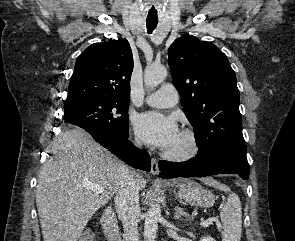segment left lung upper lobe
I'll list each match as a JSON object with an SVG mask.
<instances>
[{"label":"left lung upper lobe","mask_w":295,"mask_h":241,"mask_svg":"<svg viewBox=\"0 0 295 241\" xmlns=\"http://www.w3.org/2000/svg\"><path fill=\"white\" fill-rule=\"evenodd\" d=\"M168 63L194 129L197 155L225 153L247 159L240 93L226 55L210 42L184 35L170 46Z\"/></svg>","instance_id":"left-lung-upper-lobe-1"}]
</instances>
